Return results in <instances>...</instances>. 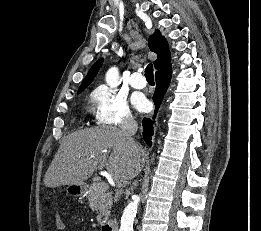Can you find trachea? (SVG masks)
Returning a JSON list of instances; mask_svg holds the SVG:
<instances>
[{
    "label": "trachea",
    "mask_w": 261,
    "mask_h": 231,
    "mask_svg": "<svg viewBox=\"0 0 261 231\" xmlns=\"http://www.w3.org/2000/svg\"><path fill=\"white\" fill-rule=\"evenodd\" d=\"M145 77L147 81H154L153 65L151 63L145 69Z\"/></svg>",
    "instance_id": "trachea-1"
}]
</instances>
